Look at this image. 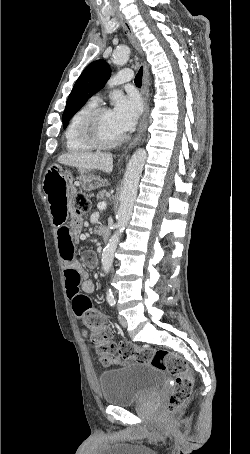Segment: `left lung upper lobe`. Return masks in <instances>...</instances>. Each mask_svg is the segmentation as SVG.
I'll use <instances>...</instances> for the list:
<instances>
[{
	"instance_id": "5c2ea615",
	"label": "left lung upper lobe",
	"mask_w": 250,
	"mask_h": 454,
	"mask_svg": "<svg viewBox=\"0 0 250 454\" xmlns=\"http://www.w3.org/2000/svg\"><path fill=\"white\" fill-rule=\"evenodd\" d=\"M110 75L111 70L105 60L94 61L84 69L68 97L62 116L64 128L86 101L103 88Z\"/></svg>"
}]
</instances>
